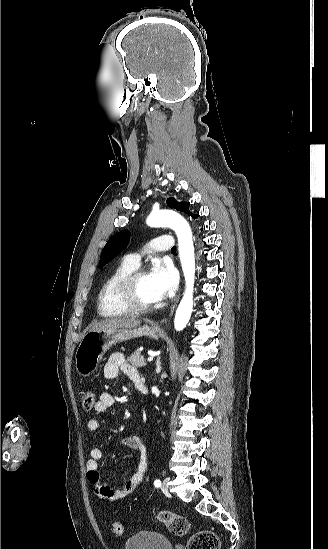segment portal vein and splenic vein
<instances>
[{"mask_svg":"<svg viewBox=\"0 0 328 549\" xmlns=\"http://www.w3.org/2000/svg\"><path fill=\"white\" fill-rule=\"evenodd\" d=\"M149 361H154V358L152 356H148Z\"/></svg>","mask_w":328,"mask_h":549,"instance_id":"1","label":"portal vein and splenic vein"}]
</instances>
